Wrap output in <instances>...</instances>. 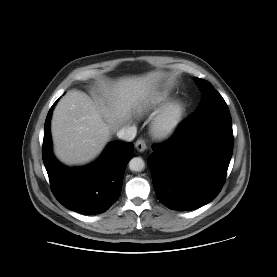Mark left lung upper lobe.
<instances>
[{
	"label": "left lung upper lobe",
	"instance_id": "left-lung-upper-lobe-1",
	"mask_svg": "<svg viewBox=\"0 0 277 277\" xmlns=\"http://www.w3.org/2000/svg\"><path fill=\"white\" fill-rule=\"evenodd\" d=\"M196 82L200 85L203 95L194 113L200 112L214 105L226 104L223 97L215 90L210 82L199 78H196Z\"/></svg>",
	"mask_w": 277,
	"mask_h": 277
}]
</instances>
